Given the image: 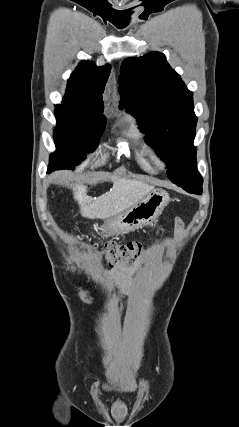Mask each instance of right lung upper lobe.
<instances>
[{
  "label": "right lung upper lobe",
  "instance_id": "right-lung-upper-lobe-1",
  "mask_svg": "<svg viewBox=\"0 0 239 427\" xmlns=\"http://www.w3.org/2000/svg\"><path fill=\"white\" fill-rule=\"evenodd\" d=\"M111 67H97L94 62L82 61L68 80L63 106L75 111L91 114H103V96L105 84Z\"/></svg>",
  "mask_w": 239,
  "mask_h": 427
}]
</instances>
